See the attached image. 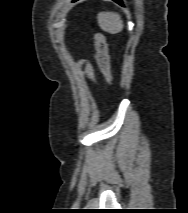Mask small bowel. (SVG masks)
<instances>
[{"label":"small bowel","instance_id":"c3829d8e","mask_svg":"<svg viewBox=\"0 0 188 213\" xmlns=\"http://www.w3.org/2000/svg\"><path fill=\"white\" fill-rule=\"evenodd\" d=\"M81 65L83 67V71H84L86 77L93 81L94 77H95L94 76L95 73H94V68H93L92 64L88 60H82Z\"/></svg>","mask_w":188,"mask_h":213}]
</instances>
